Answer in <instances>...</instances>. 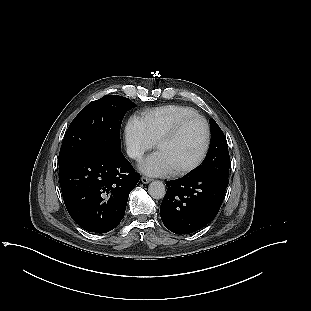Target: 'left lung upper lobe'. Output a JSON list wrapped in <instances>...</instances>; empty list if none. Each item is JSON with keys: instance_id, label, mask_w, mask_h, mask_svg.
I'll list each match as a JSON object with an SVG mask.
<instances>
[{"instance_id": "5c2ea615", "label": "left lung upper lobe", "mask_w": 311, "mask_h": 311, "mask_svg": "<svg viewBox=\"0 0 311 311\" xmlns=\"http://www.w3.org/2000/svg\"><path fill=\"white\" fill-rule=\"evenodd\" d=\"M211 142L207 158L193 174L215 173L228 178L229 174V152L224 133L215 122L210 119Z\"/></svg>"}]
</instances>
